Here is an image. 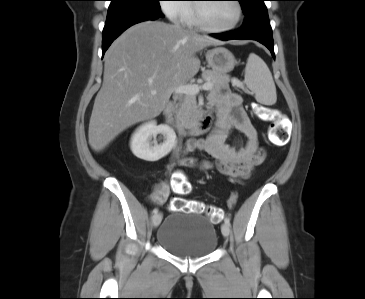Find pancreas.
Segmentation results:
<instances>
[{"label":"pancreas","mask_w":365,"mask_h":299,"mask_svg":"<svg viewBox=\"0 0 365 299\" xmlns=\"http://www.w3.org/2000/svg\"><path fill=\"white\" fill-rule=\"evenodd\" d=\"M202 79L206 81V83H211L212 89L217 90L228 88V83L230 81L226 74H222L213 70L204 71L202 73ZM175 113L177 122L181 126L189 128L200 115V111L196 102V96L185 95L177 106Z\"/></svg>","instance_id":"obj_1"}]
</instances>
